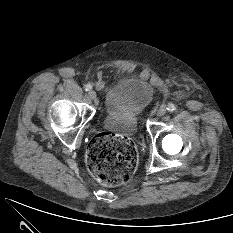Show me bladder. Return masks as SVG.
Returning <instances> with one entry per match:
<instances>
[{
	"instance_id": "bladder-1",
	"label": "bladder",
	"mask_w": 233,
	"mask_h": 233,
	"mask_svg": "<svg viewBox=\"0 0 233 233\" xmlns=\"http://www.w3.org/2000/svg\"><path fill=\"white\" fill-rule=\"evenodd\" d=\"M154 93V88L147 80L127 76L105 91L103 104L108 115L124 118L123 126L132 128L139 114L152 101Z\"/></svg>"
}]
</instances>
